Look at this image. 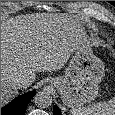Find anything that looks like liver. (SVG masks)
I'll return each instance as SVG.
<instances>
[{
    "instance_id": "obj_1",
    "label": "liver",
    "mask_w": 115,
    "mask_h": 115,
    "mask_svg": "<svg viewBox=\"0 0 115 115\" xmlns=\"http://www.w3.org/2000/svg\"><path fill=\"white\" fill-rule=\"evenodd\" d=\"M84 36L83 29L63 15H18L1 22V106L18 94L14 82L28 86L36 72L61 69Z\"/></svg>"
}]
</instances>
